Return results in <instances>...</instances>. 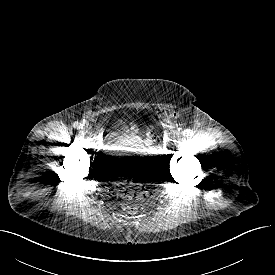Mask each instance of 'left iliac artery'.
<instances>
[{
    "mask_svg": "<svg viewBox=\"0 0 275 275\" xmlns=\"http://www.w3.org/2000/svg\"><path fill=\"white\" fill-rule=\"evenodd\" d=\"M192 134H193V132L190 129H186L183 131L184 136H191Z\"/></svg>",
    "mask_w": 275,
    "mask_h": 275,
    "instance_id": "44dca946",
    "label": "left iliac artery"
}]
</instances>
